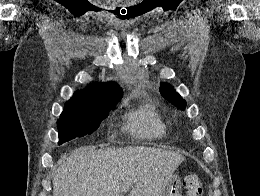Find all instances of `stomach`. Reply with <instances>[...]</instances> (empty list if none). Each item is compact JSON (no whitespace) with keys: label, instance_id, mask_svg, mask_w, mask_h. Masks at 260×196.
<instances>
[{"label":"stomach","instance_id":"1","mask_svg":"<svg viewBox=\"0 0 260 196\" xmlns=\"http://www.w3.org/2000/svg\"><path fill=\"white\" fill-rule=\"evenodd\" d=\"M167 185H182V180H167ZM165 192L161 196H181L180 187H165Z\"/></svg>","mask_w":260,"mask_h":196}]
</instances>
